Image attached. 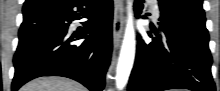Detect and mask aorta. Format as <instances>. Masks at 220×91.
<instances>
[{
  "label": "aorta",
  "instance_id": "1",
  "mask_svg": "<svg viewBox=\"0 0 220 91\" xmlns=\"http://www.w3.org/2000/svg\"><path fill=\"white\" fill-rule=\"evenodd\" d=\"M128 4V20L116 70V87L119 90H122L128 81L135 57L133 13L131 3Z\"/></svg>",
  "mask_w": 220,
  "mask_h": 91
}]
</instances>
